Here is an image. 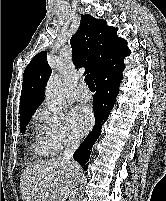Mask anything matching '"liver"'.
Returning a JSON list of instances; mask_svg holds the SVG:
<instances>
[{
    "label": "liver",
    "mask_w": 166,
    "mask_h": 201,
    "mask_svg": "<svg viewBox=\"0 0 166 201\" xmlns=\"http://www.w3.org/2000/svg\"><path fill=\"white\" fill-rule=\"evenodd\" d=\"M80 166L54 159L30 165L21 174L23 201H66L70 197Z\"/></svg>",
    "instance_id": "6515ba94"
}]
</instances>
